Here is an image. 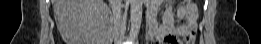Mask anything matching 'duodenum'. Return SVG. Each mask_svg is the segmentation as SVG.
I'll return each mask as SVG.
<instances>
[{
    "label": "duodenum",
    "instance_id": "obj_1",
    "mask_svg": "<svg viewBox=\"0 0 261 44\" xmlns=\"http://www.w3.org/2000/svg\"><path fill=\"white\" fill-rule=\"evenodd\" d=\"M150 25V19L148 18L147 19V29H148V26Z\"/></svg>",
    "mask_w": 261,
    "mask_h": 44
}]
</instances>
